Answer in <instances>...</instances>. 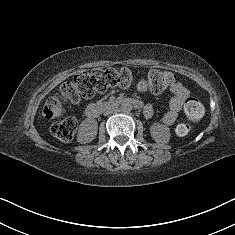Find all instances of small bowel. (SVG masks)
Segmentation results:
<instances>
[{
  "instance_id": "1",
  "label": "small bowel",
  "mask_w": 235,
  "mask_h": 235,
  "mask_svg": "<svg viewBox=\"0 0 235 235\" xmlns=\"http://www.w3.org/2000/svg\"><path fill=\"white\" fill-rule=\"evenodd\" d=\"M170 91L173 94L169 102V110L161 118V122L165 125H172L182 108L183 103L189 98V90L180 82H174L170 86ZM144 116L150 118L154 114V106L147 104L143 109Z\"/></svg>"
}]
</instances>
